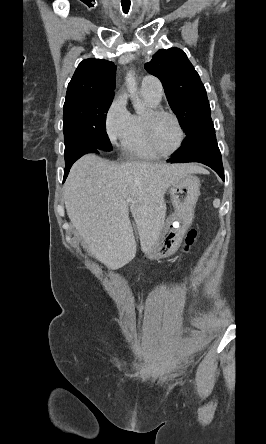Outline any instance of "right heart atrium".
<instances>
[{"label":"right heart atrium","mask_w":266,"mask_h":444,"mask_svg":"<svg viewBox=\"0 0 266 444\" xmlns=\"http://www.w3.org/2000/svg\"><path fill=\"white\" fill-rule=\"evenodd\" d=\"M130 120L125 97L118 94L112 101L105 116V133L112 144L122 142Z\"/></svg>","instance_id":"obj_1"}]
</instances>
